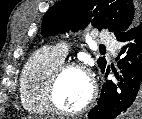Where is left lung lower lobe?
Returning a JSON list of instances; mask_svg holds the SVG:
<instances>
[{"mask_svg":"<svg viewBox=\"0 0 142 119\" xmlns=\"http://www.w3.org/2000/svg\"><path fill=\"white\" fill-rule=\"evenodd\" d=\"M116 38L124 43L118 54L122 58L117 57L120 76L117 75L116 83L104 82L98 105L89 112V119H115L121 113L136 116L142 113V22Z\"/></svg>","mask_w":142,"mask_h":119,"instance_id":"0a47b994","label":"left lung lower lobe"}]
</instances>
